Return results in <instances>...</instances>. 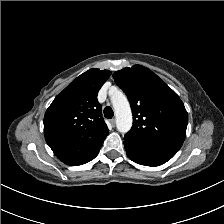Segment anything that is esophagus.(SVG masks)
<instances>
[{
    "label": "esophagus",
    "instance_id": "esophagus-1",
    "mask_svg": "<svg viewBox=\"0 0 224 224\" xmlns=\"http://www.w3.org/2000/svg\"><path fill=\"white\" fill-rule=\"evenodd\" d=\"M109 124H110L112 127H115V119H111V120H109Z\"/></svg>",
    "mask_w": 224,
    "mask_h": 224
}]
</instances>
